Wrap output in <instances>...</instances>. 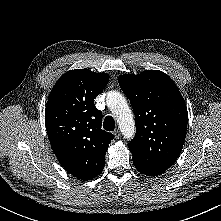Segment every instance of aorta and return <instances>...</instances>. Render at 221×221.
I'll use <instances>...</instances> for the list:
<instances>
[{"mask_svg":"<svg viewBox=\"0 0 221 221\" xmlns=\"http://www.w3.org/2000/svg\"><path fill=\"white\" fill-rule=\"evenodd\" d=\"M107 105L116 117L119 128L126 138H132L135 134L133 114L126 99L117 91H110L107 95Z\"/></svg>","mask_w":221,"mask_h":221,"instance_id":"1","label":"aorta"}]
</instances>
